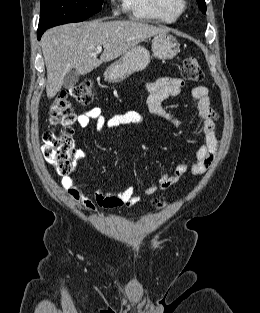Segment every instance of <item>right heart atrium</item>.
Segmentation results:
<instances>
[{
	"label": "right heart atrium",
	"mask_w": 260,
	"mask_h": 313,
	"mask_svg": "<svg viewBox=\"0 0 260 313\" xmlns=\"http://www.w3.org/2000/svg\"><path fill=\"white\" fill-rule=\"evenodd\" d=\"M111 4L114 8L117 6V0H111Z\"/></svg>",
	"instance_id": "right-heart-atrium-1"
}]
</instances>
